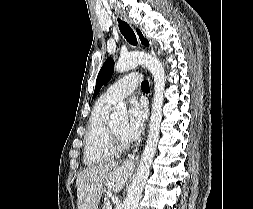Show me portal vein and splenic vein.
Listing matches in <instances>:
<instances>
[{
    "label": "portal vein and splenic vein",
    "mask_w": 253,
    "mask_h": 209,
    "mask_svg": "<svg viewBox=\"0 0 253 209\" xmlns=\"http://www.w3.org/2000/svg\"><path fill=\"white\" fill-rule=\"evenodd\" d=\"M109 209H112L110 205H109Z\"/></svg>",
    "instance_id": "obj_1"
}]
</instances>
